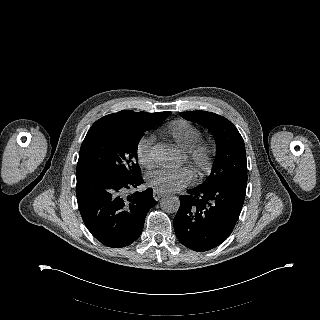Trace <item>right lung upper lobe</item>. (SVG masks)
Masks as SVG:
<instances>
[{"mask_svg":"<svg viewBox=\"0 0 320 320\" xmlns=\"http://www.w3.org/2000/svg\"><path fill=\"white\" fill-rule=\"evenodd\" d=\"M165 112L145 113L123 110L118 113L107 115L96 121L88 131L84 140L102 133L124 132L137 133L145 132L167 116Z\"/></svg>","mask_w":320,"mask_h":320,"instance_id":"1","label":"right lung upper lobe"}]
</instances>
